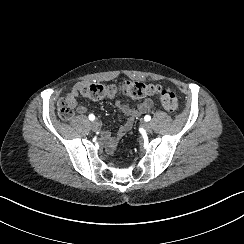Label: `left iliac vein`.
I'll return each instance as SVG.
<instances>
[{
	"mask_svg": "<svg viewBox=\"0 0 244 244\" xmlns=\"http://www.w3.org/2000/svg\"><path fill=\"white\" fill-rule=\"evenodd\" d=\"M142 127L144 128V130H145L148 134L152 133V131H153V127H152V125H151L150 123H148V122H144V123L142 124Z\"/></svg>",
	"mask_w": 244,
	"mask_h": 244,
	"instance_id": "1",
	"label": "left iliac vein"
}]
</instances>
